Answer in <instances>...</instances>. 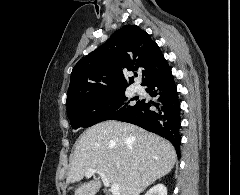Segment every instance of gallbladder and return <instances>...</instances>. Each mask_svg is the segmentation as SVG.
Listing matches in <instances>:
<instances>
[{
    "instance_id": "obj_1",
    "label": "gallbladder",
    "mask_w": 240,
    "mask_h": 195,
    "mask_svg": "<svg viewBox=\"0 0 240 195\" xmlns=\"http://www.w3.org/2000/svg\"><path fill=\"white\" fill-rule=\"evenodd\" d=\"M103 194H104V195H112V193H111L109 190H104V191H103Z\"/></svg>"
}]
</instances>
